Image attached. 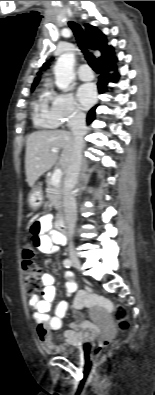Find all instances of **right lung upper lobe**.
<instances>
[{"instance_id":"obj_1","label":"right lung upper lobe","mask_w":155,"mask_h":395,"mask_svg":"<svg viewBox=\"0 0 155 395\" xmlns=\"http://www.w3.org/2000/svg\"><path fill=\"white\" fill-rule=\"evenodd\" d=\"M85 31L89 39L90 47L92 50H98L101 52V57L98 59V63H104L114 59V52L111 46L107 45L106 37L96 27L89 24H85ZM49 64L44 63L43 68H46ZM39 78H36L33 83V88L37 85Z\"/></svg>"}]
</instances>
